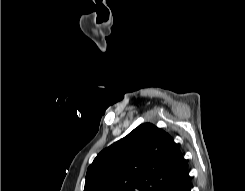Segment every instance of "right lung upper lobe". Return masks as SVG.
Returning <instances> with one entry per match:
<instances>
[{
    "label": "right lung upper lobe",
    "instance_id": "cb5924a9",
    "mask_svg": "<svg viewBox=\"0 0 245 191\" xmlns=\"http://www.w3.org/2000/svg\"><path fill=\"white\" fill-rule=\"evenodd\" d=\"M187 173L172 137L144 123L98 154L87 170L84 191H161Z\"/></svg>",
    "mask_w": 245,
    "mask_h": 191
}]
</instances>
